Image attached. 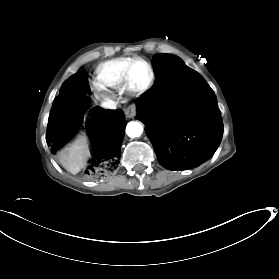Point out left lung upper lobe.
Here are the masks:
<instances>
[{
  "instance_id": "obj_1",
  "label": "left lung upper lobe",
  "mask_w": 279,
  "mask_h": 279,
  "mask_svg": "<svg viewBox=\"0 0 279 279\" xmlns=\"http://www.w3.org/2000/svg\"><path fill=\"white\" fill-rule=\"evenodd\" d=\"M171 64L174 65L172 69H169L168 66ZM152 65L156 74V80L154 86L146 92V95L150 97H158L170 92L178 84L181 75L192 71V69L185 65L182 59L170 54L155 55ZM174 73H178V76H170Z\"/></svg>"
}]
</instances>
